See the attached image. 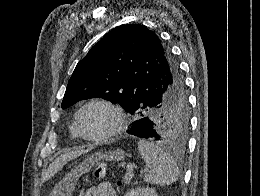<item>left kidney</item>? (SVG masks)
<instances>
[{
    "instance_id": "left-kidney-1",
    "label": "left kidney",
    "mask_w": 260,
    "mask_h": 196,
    "mask_svg": "<svg viewBox=\"0 0 260 196\" xmlns=\"http://www.w3.org/2000/svg\"><path fill=\"white\" fill-rule=\"evenodd\" d=\"M125 196H157V192L153 188H135L127 192Z\"/></svg>"
}]
</instances>
